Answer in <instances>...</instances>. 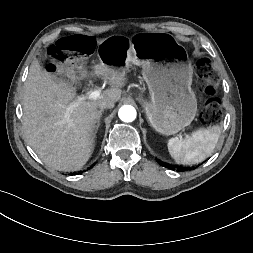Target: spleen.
<instances>
[{
	"instance_id": "3e777b00",
	"label": "spleen",
	"mask_w": 253,
	"mask_h": 253,
	"mask_svg": "<svg viewBox=\"0 0 253 253\" xmlns=\"http://www.w3.org/2000/svg\"><path fill=\"white\" fill-rule=\"evenodd\" d=\"M220 126L215 125L207 129L194 131L184 140L178 137L168 141V151L171 157L183 165H193L203 162L211 156L220 137Z\"/></svg>"
}]
</instances>
